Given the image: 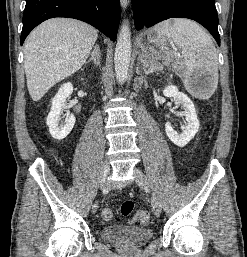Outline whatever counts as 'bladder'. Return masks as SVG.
<instances>
[{
	"mask_svg": "<svg viewBox=\"0 0 247 257\" xmlns=\"http://www.w3.org/2000/svg\"><path fill=\"white\" fill-rule=\"evenodd\" d=\"M101 236L105 241L111 243L139 245L153 237V230L149 227L109 225L101 229Z\"/></svg>",
	"mask_w": 247,
	"mask_h": 257,
	"instance_id": "31cf9c89",
	"label": "bladder"
}]
</instances>
